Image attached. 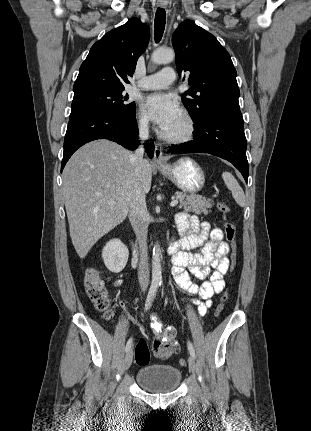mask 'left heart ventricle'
I'll return each mask as SVG.
<instances>
[{"instance_id": "obj_1", "label": "left heart ventricle", "mask_w": 311, "mask_h": 431, "mask_svg": "<svg viewBox=\"0 0 311 431\" xmlns=\"http://www.w3.org/2000/svg\"><path fill=\"white\" fill-rule=\"evenodd\" d=\"M186 130L187 123L183 116L180 115L178 119L164 131V134L167 136L180 135L185 133Z\"/></svg>"}]
</instances>
